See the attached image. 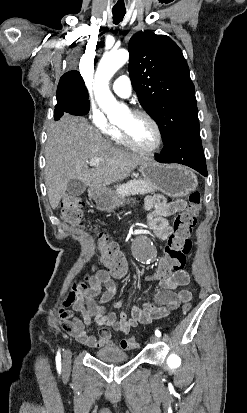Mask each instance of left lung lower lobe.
I'll return each instance as SVG.
<instances>
[{
  "instance_id": "obj_1",
  "label": "left lung lower lobe",
  "mask_w": 247,
  "mask_h": 413,
  "mask_svg": "<svg viewBox=\"0 0 247 413\" xmlns=\"http://www.w3.org/2000/svg\"><path fill=\"white\" fill-rule=\"evenodd\" d=\"M160 163H179L207 176L206 161L200 135L186 134L172 138L162 152L155 155Z\"/></svg>"
}]
</instances>
